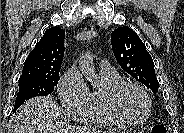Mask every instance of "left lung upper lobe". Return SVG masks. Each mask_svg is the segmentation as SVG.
I'll return each instance as SVG.
<instances>
[{"label": "left lung upper lobe", "mask_w": 184, "mask_h": 133, "mask_svg": "<svg viewBox=\"0 0 184 133\" xmlns=\"http://www.w3.org/2000/svg\"><path fill=\"white\" fill-rule=\"evenodd\" d=\"M111 45L121 68L156 94L154 62L139 36L129 27H119L111 33Z\"/></svg>", "instance_id": "5c2ea615"}]
</instances>
